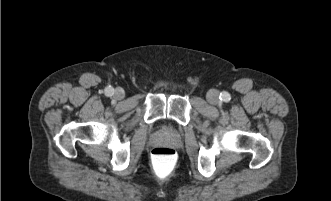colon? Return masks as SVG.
<instances>
[{"instance_id":"5ec220e1","label":"colon","mask_w":331,"mask_h":201,"mask_svg":"<svg viewBox=\"0 0 331 201\" xmlns=\"http://www.w3.org/2000/svg\"><path fill=\"white\" fill-rule=\"evenodd\" d=\"M177 164L178 154L175 149L158 146L151 151V165L157 177H169L176 170Z\"/></svg>"}]
</instances>
